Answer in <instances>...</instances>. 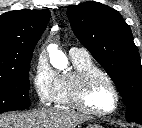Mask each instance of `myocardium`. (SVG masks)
Returning a JSON list of instances; mask_svg holds the SVG:
<instances>
[{"instance_id":"1","label":"myocardium","mask_w":142,"mask_h":128,"mask_svg":"<svg viewBox=\"0 0 142 128\" xmlns=\"http://www.w3.org/2000/svg\"><path fill=\"white\" fill-rule=\"evenodd\" d=\"M100 80L108 83L115 99L113 108L107 111L97 110L90 104L91 91ZM73 100L81 111L98 117H104L113 114L118 109L120 95L116 84L110 76L103 71H91L79 74L76 77L73 87Z\"/></svg>"}]
</instances>
